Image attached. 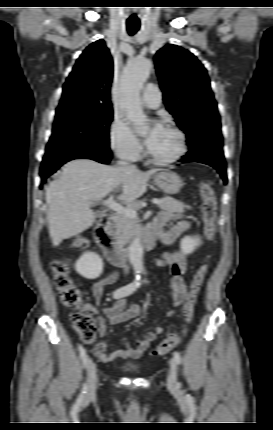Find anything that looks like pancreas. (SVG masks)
<instances>
[{
  "label": "pancreas",
  "instance_id": "1",
  "mask_svg": "<svg viewBox=\"0 0 273 430\" xmlns=\"http://www.w3.org/2000/svg\"><path fill=\"white\" fill-rule=\"evenodd\" d=\"M162 203H160L158 206L162 210H167L170 212H183L184 208L191 209L190 206L185 205L183 202H180L172 197L166 196L161 199ZM129 208L138 209V203H133L129 205ZM139 219L136 217L131 218L124 214L116 213L114 219H113V227L115 229L114 235L115 238L119 242H125L128 240L134 230L138 228Z\"/></svg>",
  "mask_w": 273,
  "mask_h": 430
}]
</instances>
